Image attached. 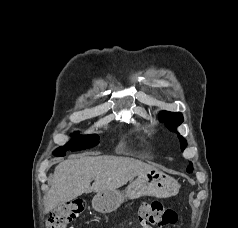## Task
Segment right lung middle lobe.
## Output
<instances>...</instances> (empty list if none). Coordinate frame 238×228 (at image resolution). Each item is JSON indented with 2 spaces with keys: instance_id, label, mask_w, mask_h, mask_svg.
I'll use <instances>...</instances> for the list:
<instances>
[{
  "instance_id": "1",
  "label": "right lung middle lobe",
  "mask_w": 238,
  "mask_h": 228,
  "mask_svg": "<svg viewBox=\"0 0 238 228\" xmlns=\"http://www.w3.org/2000/svg\"><path fill=\"white\" fill-rule=\"evenodd\" d=\"M78 135V133H75ZM99 143V136L98 135H84L80 137H75L74 139L70 140L64 146L57 148L54 151V155L56 156H64L67 150L77 151L83 150L86 148H91L96 146Z\"/></svg>"
}]
</instances>
